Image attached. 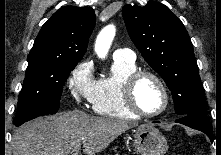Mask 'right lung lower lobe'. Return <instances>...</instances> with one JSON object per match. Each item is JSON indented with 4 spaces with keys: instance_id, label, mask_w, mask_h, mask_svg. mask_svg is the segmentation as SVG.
Instances as JSON below:
<instances>
[{
    "instance_id": "obj_1",
    "label": "right lung lower lobe",
    "mask_w": 221,
    "mask_h": 155,
    "mask_svg": "<svg viewBox=\"0 0 221 155\" xmlns=\"http://www.w3.org/2000/svg\"><path fill=\"white\" fill-rule=\"evenodd\" d=\"M56 113V112H55ZM55 113H48V114H44V115H49V114H55ZM21 124L19 125H15V126H20Z\"/></svg>"
}]
</instances>
